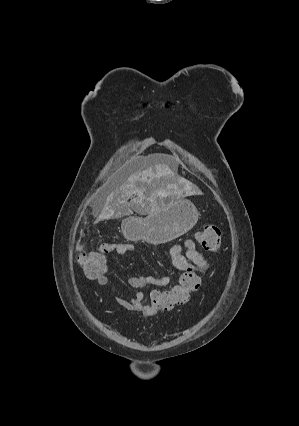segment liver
Masks as SVG:
<instances>
[{
	"mask_svg": "<svg viewBox=\"0 0 299 426\" xmlns=\"http://www.w3.org/2000/svg\"><path fill=\"white\" fill-rule=\"evenodd\" d=\"M173 177L174 172L163 163H156L143 171L131 174L106 197L96 222L129 215L133 210H156L163 202L162 199L168 195L167 190L172 187L170 179ZM133 194L137 195V198L128 202Z\"/></svg>",
	"mask_w": 299,
	"mask_h": 426,
	"instance_id": "obj_1",
	"label": "liver"
}]
</instances>
